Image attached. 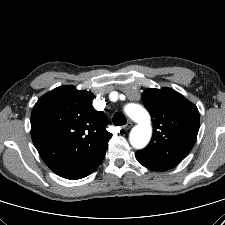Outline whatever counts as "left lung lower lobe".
<instances>
[{
  "label": "left lung lower lobe",
  "instance_id": "1",
  "mask_svg": "<svg viewBox=\"0 0 225 225\" xmlns=\"http://www.w3.org/2000/svg\"><path fill=\"white\" fill-rule=\"evenodd\" d=\"M136 158H137V160H138V162H139L140 164H142L143 166H145L146 168H148V169H150V170H153V171H160V172L166 171L165 169H162V168H160V167H157V166H155V165H153V164H151V163H149V162L143 160V159L140 158L138 155H136Z\"/></svg>",
  "mask_w": 225,
  "mask_h": 225
}]
</instances>
